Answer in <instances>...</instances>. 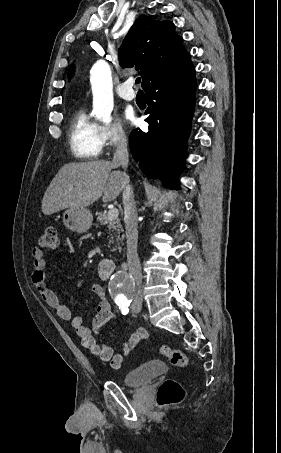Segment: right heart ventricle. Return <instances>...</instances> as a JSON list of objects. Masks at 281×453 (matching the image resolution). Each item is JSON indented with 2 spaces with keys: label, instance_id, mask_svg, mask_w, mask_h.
Segmentation results:
<instances>
[{
  "label": "right heart ventricle",
  "instance_id": "obj_1",
  "mask_svg": "<svg viewBox=\"0 0 281 453\" xmlns=\"http://www.w3.org/2000/svg\"><path fill=\"white\" fill-rule=\"evenodd\" d=\"M70 144L74 155L81 160H92L100 156L105 145L102 125L92 117L86 106L73 113L70 126Z\"/></svg>",
  "mask_w": 281,
  "mask_h": 453
}]
</instances>
